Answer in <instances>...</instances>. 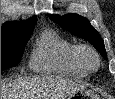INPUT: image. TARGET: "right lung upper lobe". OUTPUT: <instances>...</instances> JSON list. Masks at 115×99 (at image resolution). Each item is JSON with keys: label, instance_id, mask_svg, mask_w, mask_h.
Here are the masks:
<instances>
[{"label": "right lung upper lobe", "instance_id": "obj_1", "mask_svg": "<svg viewBox=\"0 0 115 99\" xmlns=\"http://www.w3.org/2000/svg\"><path fill=\"white\" fill-rule=\"evenodd\" d=\"M37 19L32 17L27 21L7 22L1 28V37L30 34L36 24Z\"/></svg>", "mask_w": 115, "mask_h": 99}]
</instances>
